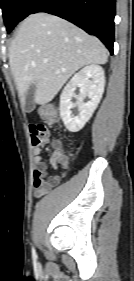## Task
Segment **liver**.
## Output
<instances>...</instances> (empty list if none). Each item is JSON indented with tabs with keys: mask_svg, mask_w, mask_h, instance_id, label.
Returning a JSON list of instances; mask_svg holds the SVG:
<instances>
[{
	"mask_svg": "<svg viewBox=\"0 0 134 281\" xmlns=\"http://www.w3.org/2000/svg\"><path fill=\"white\" fill-rule=\"evenodd\" d=\"M107 59V49L98 38L42 12L29 15L21 23L9 48L10 69L23 105L30 85L36 88L34 102L44 105L78 69L105 64Z\"/></svg>",
	"mask_w": 134,
	"mask_h": 281,
	"instance_id": "6515ba94",
	"label": "liver"
}]
</instances>
